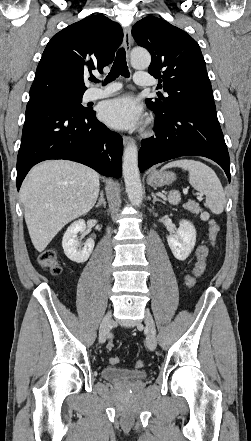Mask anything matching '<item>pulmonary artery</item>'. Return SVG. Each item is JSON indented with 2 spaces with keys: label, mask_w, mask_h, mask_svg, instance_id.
Here are the masks:
<instances>
[{
  "label": "pulmonary artery",
  "mask_w": 251,
  "mask_h": 441,
  "mask_svg": "<svg viewBox=\"0 0 251 441\" xmlns=\"http://www.w3.org/2000/svg\"><path fill=\"white\" fill-rule=\"evenodd\" d=\"M134 82L138 85L148 86L153 83L152 78L145 72H137L134 77ZM120 89V85L116 83L108 84L102 88H90L85 93V99L87 101L104 98L114 94Z\"/></svg>",
  "instance_id": "e3ab8cb5"
}]
</instances>
